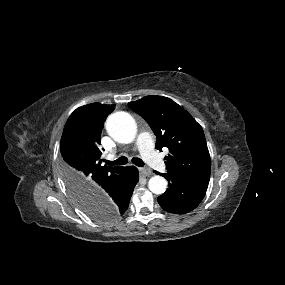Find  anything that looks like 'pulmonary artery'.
Listing matches in <instances>:
<instances>
[{"label":"pulmonary artery","mask_w":285,"mask_h":285,"mask_svg":"<svg viewBox=\"0 0 285 285\" xmlns=\"http://www.w3.org/2000/svg\"><path fill=\"white\" fill-rule=\"evenodd\" d=\"M135 146L140 152L145 162L152 168L165 172L167 167L160 155L154 150L152 135L146 131H141L135 142ZM114 155H108V159H113Z\"/></svg>","instance_id":"e3ab8cb5"}]
</instances>
